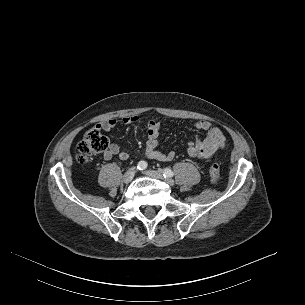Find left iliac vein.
I'll return each instance as SVG.
<instances>
[{
	"mask_svg": "<svg viewBox=\"0 0 305 305\" xmlns=\"http://www.w3.org/2000/svg\"><path fill=\"white\" fill-rule=\"evenodd\" d=\"M144 173L146 175L150 176V177L163 180L169 186H173L174 185V181L171 178H165L161 171L148 170V171H145Z\"/></svg>",
	"mask_w": 305,
	"mask_h": 305,
	"instance_id": "1",
	"label": "left iliac vein"
}]
</instances>
